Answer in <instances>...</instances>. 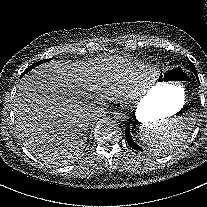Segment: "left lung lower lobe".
<instances>
[{
  "instance_id": "left-lung-lower-lobe-1",
  "label": "left lung lower lobe",
  "mask_w": 207,
  "mask_h": 207,
  "mask_svg": "<svg viewBox=\"0 0 207 207\" xmlns=\"http://www.w3.org/2000/svg\"><path fill=\"white\" fill-rule=\"evenodd\" d=\"M193 73L197 76V72L195 68H192ZM125 136H126V140L127 143L135 150H140L142 151V149L133 141L131 135H130V131H129V124L127 125V128L125 129Z\"/></svg>"
}]
</instances>
